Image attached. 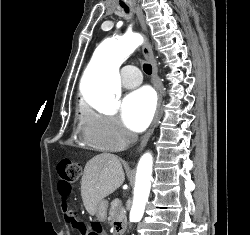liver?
<instances>
[{"label": "liver", "mask_w": 250, "mask_h": 235, "mask_svg": "<svg viewBox=\"0 0 250 235\" xmlns=\"http://www.w3.org/2000/svg\"><path fill=\"white\" fill-rule=\"evenodd\" d=\"M125 175L117 156L103 153L87 162L81 181V196L90 215L96 213L98 203L115 192Z\"/></svg>", "instance_id": "1"}]
</instances>
